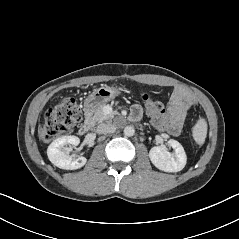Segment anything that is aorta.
<instances>
[{
    "label": "aorta",
    "mask_w": 239,
    "mask_h": 239,
    "mask_svg": "<svg viewBox=\"0 0 239 239\" xmlns=\"http://www.w3.org/2000/svg\"><path fill=\"white\" fill-rule=\"evenodd\" d=\"M134 133H135V130H134V128H133L132 126H126V127L124 128V134H125V136L131 137V136L134 135Z\"/></svg>",
    "instance_id": "762f6f07"
}]
</instances>
